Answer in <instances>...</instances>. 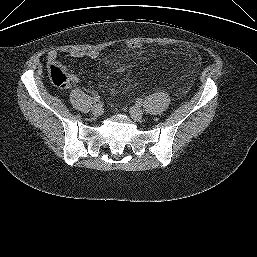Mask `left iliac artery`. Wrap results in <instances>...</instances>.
<instances>
[{
  "instance_id": "44dca946",
  "label": "left iliac artery",
  "mask_w": 257,
  "mask_h": 257,
  "mask_svg": "<svg viewBox=\"0 0 257 257\" xmlns=\"http://www.w3.org/2000/svg\"><path fill=\"white\" fill-rule=\"evenodd\" d=\"M142 103H143V99L138 98V99L136 100V105L141 106Z\"/></svg>"
}]
</instances>
